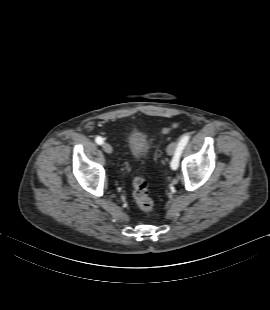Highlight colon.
<instances>
[{
    "label": "colon",
    "mask_w": 270,
    "mask_h": 310,
    "mask_svg": "<svg viewBox=\"0 0 270 310\" xmlns=\"http://www.w3.org/2000/svg\"><path fill=\"white\" fill-rule=\"evenodd\" d=\"M165 129L164 132H167ZM133 197L137 206L144 212H150L153 209V201L149 195L148 183L143 177H136L133 180Z\"/></svg>",
    "instance_id": "colon-1"
}]
</instances>
